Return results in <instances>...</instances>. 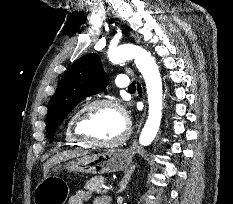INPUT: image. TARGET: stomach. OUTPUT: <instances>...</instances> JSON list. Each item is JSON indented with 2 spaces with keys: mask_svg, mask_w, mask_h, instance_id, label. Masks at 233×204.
Here are the masks:
<instances>
[{
  "mask_svg": "<svg viewBox=\"0 0 233 204\" xmlns=\"http://www.w3.org/2000/svg\"><path fill=\"white\" fill-rule=\"evenodd\" d=\"M134 152L130 149L109 150L98 154L81 156L75 160L57 163L51 167L34 191V204H64L68 186L57 174L62 170L89 174L122 171L130 166Z\"/></svg>",
  "mask_w": 233,
  "mask_h": 204,
  "instance_id": "obj_1",
  "label": "stomach"
}]
</instances>
